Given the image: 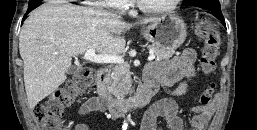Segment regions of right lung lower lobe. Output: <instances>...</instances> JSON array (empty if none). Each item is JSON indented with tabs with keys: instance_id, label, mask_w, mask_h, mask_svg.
Wrapping results in <instances>:
<instances>
[{
	"instance_id": "98d812e1",
	"label": "right lung lower lobe",
	"mask_w": 257,
	"mask_h": 130,
	"mask_svg": "<svg viewBox=\"0 0 257 130\" xmlns=\"http://www.w3.org/2000/svg\"><path fill=\"white\" fill-rule=\"evenodd\" d=\"M36 3H38L37 6H28V10H27V13H26V14H28L30 11H32L33 9H35L36 7H38V6L40 5V2H39V1H37ZM26 14H25V16L23 17V21L26 19Z\"/></svg>"
}]
</instances>
